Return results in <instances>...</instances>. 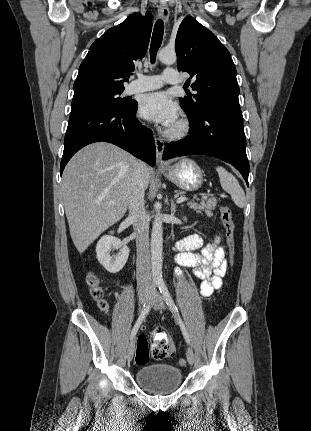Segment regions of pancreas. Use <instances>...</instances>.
<instances>
[{"instance_id":"1","label":"pancreas","mask_w":311,"mask_h":431,"mask_svg":"<svg viewBox=\"0 0 311 431\" xmlns=\"http://www.w3.org/2000/svg\"><path fill=\"white\" fill-rule=\"evenodd\" d=\"M177 194L184 196L186 192H177ZM217 204V198H209V200H200L198 204H196V202H189L188 206H190L192 210H196L197 214H202V212H205L206 216L211 217L213 216L212 210H215Z\"/></svg>"}]
</instances>
